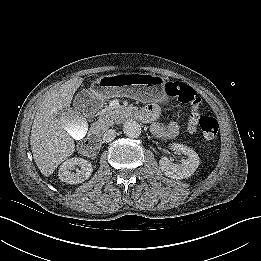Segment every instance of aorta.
Returning a JSON list of instances; mask_svg holds the SVG:
<instances>
[{"mask_svg": "<svg viewBox=\"0 0 261 261\" xmlns=\"http://www.w3.org/2000/svg\"><path fill=\"white\" fill-rule=\"evenodd\" d=\"M141 131L140 124L135 120L127 119L124 123V133L130 138H138L141 135Z\"/></svg>", "mask_w": 261, "mask_h": 261, "instance_id": "1", "label": "aorta"}]
</instances>
